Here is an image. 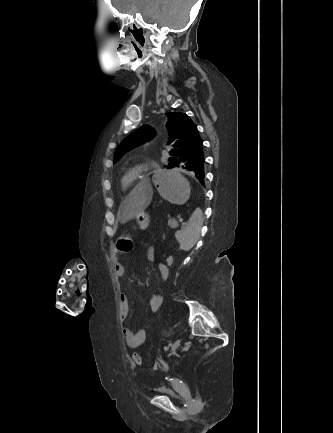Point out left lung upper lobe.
Wrapping results in <instances>:
<instances>
[{
	"mask_svg": "<svg viewBox=\"0 0 333 433\" xmlns=\"http://www.w3.org/2000/svg\"><path fill=\"white\" fill-rule=\"evenodd\" d=\"M166 116L168 117L166 125L169 131L168 144L174 148V151H170L172 157L169 158V163L166 167L171 169L174 168L175 162L182 154L200 140V136L196 125L186 114L174 112L167 113ZM154 133V130L147 125L133 132L118 146L114 162L118 161L127 151L149 140Z\"/></svg>",
	"mask_w": 333,
	"mask_h": 433,
	"instance_id": "left-lung-upper-lobe-1",
	"label": "left lung upper lobe"
}]
</instances>
